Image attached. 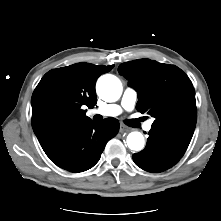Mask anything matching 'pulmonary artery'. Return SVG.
<instances>
[{
    "label": "pulmonary artery",
    "instance_id": "pulmonary-artery-1",
    "mask_svg": "<svg viewBox=\"0 0 221 221\" xmlns=\"http://www.w3.org/2000/svg\"><path fill=\"white\" fill-rule=\"evenodd\" d=\"M137 101V92L134 88L132 87H127L124 90V93L122 95L121 99V105L117 104H108L104 105L98 109L93 110V113L101 114L104 116H117L121 113L122 109L125 110H132L136 104ZM152 127V122H148L144 129L146 131H149Z\"/></svg>",
    "mask_w": 221,
    "mask_h": 221
}]
</instances>
